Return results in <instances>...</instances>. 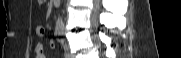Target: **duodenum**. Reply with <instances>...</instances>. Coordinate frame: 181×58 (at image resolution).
Returning a JSON list of instances; mask_svg holds the SVG:
<instances>
[{
	"label": "duodenum",
	"mask_w": 181,
	"mask_h": 58,
	"mask_svg": "<svg viewBox=\"0 0 181 58\" xmlns=\"http://www.w3.org/2000/svg\"><path fill=\"white\" fill-rule=\"evenodd\" d=\"M52 2L55 6H59L60 4V0H52Z\"/></svg>",
	"instance_id": "duodenum-1"
}]
</instances>
